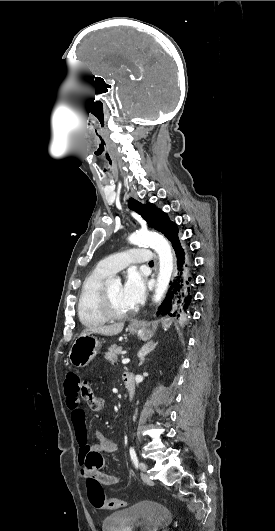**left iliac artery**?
Wrapping results in <instances>:
<instances>
[{
  "mask_svg": "<svg viewBox=\"0 0 275 531\" xmlns=\"http://www.w3.org/2000/svg\"><path fill=\"white\" fill-rule=\"evenodd\" d=\"M129 452H130V457H131V460H132L134 466H135L136 468H138V463H139V462H138V458H137V455H136V452H135L134 448H133V447H130Z\"/></svg>",
  "mask_w": 275,
  "mask_h": 531,
  "instance_id": "obj_1",
  "label": "left iliac artery"
}]
</instances>
